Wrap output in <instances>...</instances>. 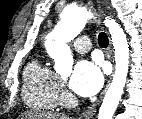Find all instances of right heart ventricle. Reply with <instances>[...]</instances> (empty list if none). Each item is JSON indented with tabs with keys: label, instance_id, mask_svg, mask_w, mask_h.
<instances>
[{
	"label": "right heart ventricle",
	"instance_id": "right-heart-ventricle-1",
	"mask_svg": "<svg viewBox=\"0 0 142 119\" xmlns=\"http://www.w3.org/2000/svg\"><path fill=\"white\" fill-rule=\"evenodd\" d=\"M60 83L58 76L38 60L29 63L23 73L22 96L34 108L52 109L58 103Z\"/></svg>",
	"mask_w": 142,
	"mask_h": 119
}]
</instances>
